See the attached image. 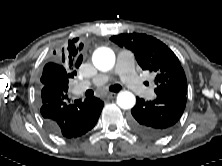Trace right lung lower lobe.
I'll list each match as a JSON object with an SVG mask.
<instances>
[{
	"instance_id": "obj_1",
	"label": "right lung lower lobe",
	"mask_w": 222,
	"mask_h": 166,
	"mask_svg": "<svg viewBox=\"0 0 222 166\" xmlns=\"http://www.w3.org/2000/svg\"><path fill=\"white\" fill-rule=\"evenodd\" d=\"M39 98L46 126L64 138H76L91 130L104 106L95 97L71 103L66 92L53 86H43Z\"/></svg>"
}]
</instances>
